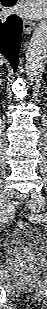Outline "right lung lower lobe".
Masks as SVG:
<instances>
[{"label":"right lung lower lobe","instance_id":"right-lung-lower-lobe-1","mask_svg":"<svg viewBox=\"0 0 47 309\" xmlns=\"http://www.w3.org/2000/svg\"><path fill=\"white\" fill-rule=\"evenodd\" d=\"M17 0H1L4 6H13ZM1 11V9H0ZM22 21L14 15L0 16V53L10 62L16 71L19 60Z\"/></svg>","mask_w":47,"mask_h":309}]
</instances>
